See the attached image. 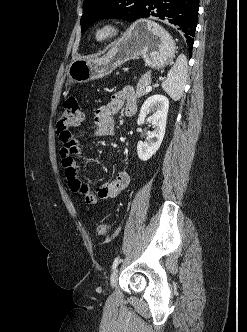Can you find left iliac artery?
<instances>
[{"label": "left iliac artery", "instance_id": "left-iliac-artery-1", "mask_svg": "<svg viewBox=\"0 0 247 332\" xmlns=\"http://www.w3.org/2000/svg\"><path fill=\"white\" fill-rule=\"evenodd\" d=\"M119 256H117L113 262V265H112V269L114 270L116 268V266L119 264Z\"/></svg>", "mask_w": 247, "mask_h": 332}]
</instances>
